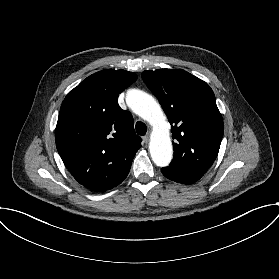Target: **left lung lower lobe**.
I'll use <instances>...</instances> for the list:
<instances>
[{
  "instance_id": "0a47b994",
  "label": "left lung lower lobe",
  "mask_w": 279,
  "mask_h": 279,
  "mask_svg": "<svg viewBox=\"0 0 279 279\" xmlns=\"http://www.w3.org/2000/svg\"><path fill=\"white\" fill-rule=\"evenodd\" d=\"M161 171L166 178L182 184H193L200 179L198 177L190 176L168 167L162 168Z\"/></svg>"
}]
</instances>
